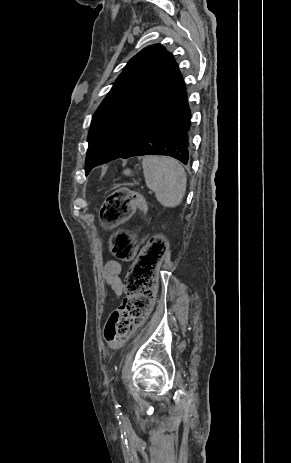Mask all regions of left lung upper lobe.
Wrapping results in <instances>:
<instances>
[{"mask_svg":"<svg viewBox=\"0 0 291 463\" xmlns=\"http://www.w3.org/2000/svg\"><path fill=\"white\" fill-rule=\"evenodd\" d=\"M184 91L177 63L161 45L132 57L92 118L85 172L99 160L128 153Z\"/></svg>","mask_w":291,"mask_h":463,"instance_id":"5c2ea615","label":"left lung upper lobe"}]
</instances>
